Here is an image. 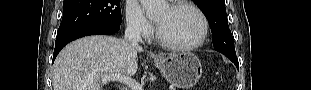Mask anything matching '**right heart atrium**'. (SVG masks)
I'll use <instances>...</instances> for the list:
<instances>
[{
  "mask_svg": "<svg viewBox=\"0 0 311 90\" xmlns=\"http://www.w3.org/2000/svg\"><path fill=\"white\" fill-rule=\"evenodd\" d=\"M126 25L130 32L140 35L143 38H147L153 33V25L146 18L137 1H129L127 3Z\"/></svg>",
  "mask_w": 311,
  "mask_h": 90,
  "instance_id": "right-heart-atrium-1",
  "label": "right heart atrium"
}]
</instances>
